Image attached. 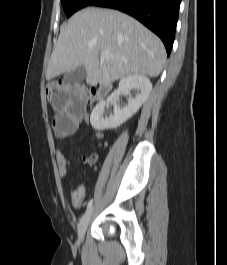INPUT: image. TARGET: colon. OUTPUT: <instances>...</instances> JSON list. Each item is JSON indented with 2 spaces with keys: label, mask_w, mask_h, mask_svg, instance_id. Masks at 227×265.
Wrapping results in <instances>:
<instances>
[{
  "label": "colon",
  "mask_w": 227,
  "mask_h": 265,
  "mask_svg": "<svg viewBox=\"0 0 227 265\" xmlns=\"http://www.w3.org/2000/svg\"><path fill=\"white\" fill-rule=\"evenodd\" d=\"M56 87H79V91H84V96L87 104H91L94 101V93L90 88L83 85H78V84L70 85L60 82H50L46 85L45 92L49 100H51V97L54 96V91H56Z\"/></svg>",
  "instance_id": "obj_1"
}]
</instances>
